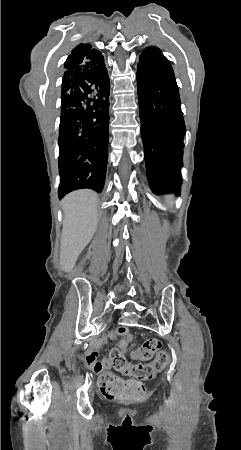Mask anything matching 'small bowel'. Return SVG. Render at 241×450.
<instances>
[{"label": "small bowel", "mask_w": 241, "mask_h": 450, "mask_svg": "<svg viewBox=\"0 0 241 450\" xmlns=\"http://www.w3.org/2000/svg\"><path fill=\"white\" fill-rule=\"evenodd\" d=\"M117 336L121 339L117 342L116 347L121 351H125L127 347L131 344L133 336L130 330L126 326H120L116 332L109 335L110 339H115ZM106 341L102 340L94 348L88 351L85 356V363L91 367L96 373H100L104 369H108L111 366V361L108 358H103L98 360V348L103 345ZM120 351V352H121Z\"/></svg>", "instance_id": "small-bowel-1"}]
</instances>
